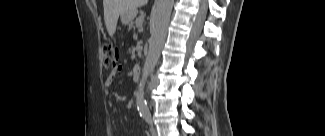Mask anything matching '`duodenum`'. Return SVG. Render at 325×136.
Wrapping results in <instances>:
<instances>
[{
    "mask_svg": "<svg viewBox=\"0 0 325 136\" xmlns=\"http://www.w3.org/2000/svg\"><path fill=\"white\" fill-rule=\"evenodd\" d=\"M140 72H141V65L140 64L134 65V67L132 69L133 77H138Z\"/></svg>",
    "mask_w": 325,
    "mask_h": 136,
    "instance_id": "duodenum-1",
    "label": "duodenum"
}]
</instances>
